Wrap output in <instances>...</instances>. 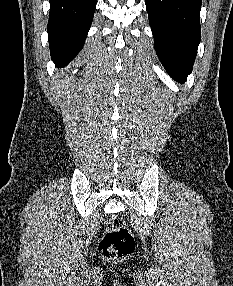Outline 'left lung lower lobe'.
I'll list each match as a JSON object with an SVG mask.
<instances>
[{
  "instance_id": "obj_1",
  "label": "left lung lower lobe",
  "mask_w": 233,
  "mask_h": 286,
  "mask_svg": "<svg viewBox=\"0 0 233 286\" xmlns=\"http://www.w3.org/2000/svg\"><path fill=\"white\" fill-rule=\"evenodd\" d=\"M202 0H145L154 47L162 65L184 83L192 72L201 39Z\"/></svg>"
}]
</instances>
